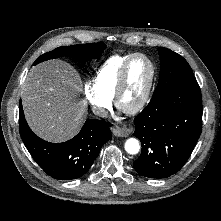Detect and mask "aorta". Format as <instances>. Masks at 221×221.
<instances>
[{
  "label": "aorta",
  "mask_w": 221,
  "mask_h": 221,
  "mask_svg": "<svg viewBox=\"0 0 221 221\" xmlns=\"http://www.w3.org/2000/svg\"><path fill=\"white\" fill-rule=\"evenodd\" d=\"M140 149V145L137 139L135 138H129L126 142H125V150L129 153V154H137L139 152Z\"/></svg>",
  "instance_id": "aorta-1"
}]
</instances>
